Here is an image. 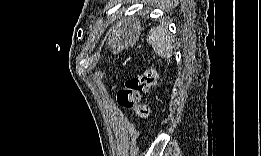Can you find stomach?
Masks as SVG:
<instances>
[{
  "mask_svg": "<svg viewBox=\"0 0 261 156\" xmlns=\"http://www.w3.org/2000/svg\"><path fill=\"white\" fill-rule=\"evenodd\" d=\"M139 25H134V27L131 29V31H129L128 35H125V37H123V39H120L118 41L120 48L123 47V45L125 46H131L133 45V43L135 42L136 38H135V34L139 33Z\"/></svg>",
  "mask_w": 261,
  "mask_h": 156,
  "instance_id": "stomach-1",
  "label": "stomach"
}]
</instances>
